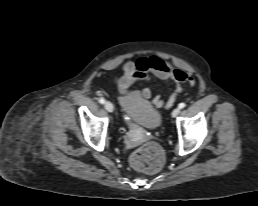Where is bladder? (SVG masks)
I'll list each match as a JSON object with an SVG mask.
<instances>
[{
	"instance_id": "31cf9c89",
	"label": "bladder",
	"mask_w": 258,
	"mask_h": 206,
	"mask_svg": "<svg viewBox=\"0 0 258 206\" xmlns=\"http://www.w3.org/2000/svg\"><path fill=\"white\" fill-rule=\"evenodd\" d=\"M119 104L122 112L138 125L151 130L161 125L162 114L159 109L138 91H130L120 96Z\"/></svg>"
}]
</instances>
